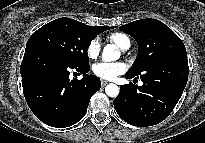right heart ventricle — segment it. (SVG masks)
<instances>
[{"mask_svg":"<svg viewBox=\"0 0 205 143\" xmlns=\"http://www.w3.org/2000/svg\"><path fill=\"white\" fill-rule=\"evenodd\" d=\"M108 39L114 42L119 48L124 49L127 46H130L129 37L122 32H114L108 35Z\"/></svg>","mask_w":205,"mask_h":143,"instance_id":"right-heart-ventricle-1","label":"right heart ventricle"}]
</instances>
